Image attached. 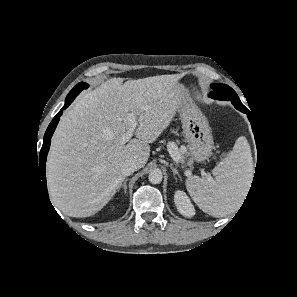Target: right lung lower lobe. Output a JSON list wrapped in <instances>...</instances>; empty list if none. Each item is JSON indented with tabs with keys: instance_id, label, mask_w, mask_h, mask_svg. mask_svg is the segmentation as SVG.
<instances>
[{
	"instance_id": "98d812e1",
	"label": "right lung lower lobe",
	"mask_w": 297,
	"mask_h": 297,
	"mask_svg": "<svg viewBox=\"0 0 297 297\" xmlns=\"http://www.w3.org/2000/svg\"><path fill=\"white\" fill-rule=\"evenodd\" d=\"M71 103L70 102H65L64 107L58 112V114L53 118L52 122L49 124L45 135H44V140H43V145L40 151L39 155V169H40V174L43 182V186L47 192V186H46V177H45V166H46V157L49 151L50 143H51V137L54 133V130L59 122V118L62 115V110L66 109Z\"/></svg>"
}]
</instances>
